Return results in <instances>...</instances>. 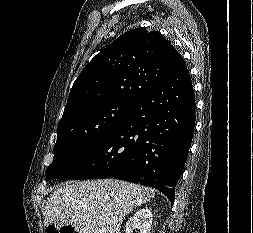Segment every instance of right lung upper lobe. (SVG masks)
Here are the masks:
<instances>
[{
  "label": "right lung upper lobe",
  "mask_w": 253,
  "mask_h": 233,
  "mask_svg": "<svg viewBox=\"0 0 253 233\" xmlns=\"http://www.w3.org/2000/svg\"><path fill=\"white\" fill-rule=\"evenodd\" d=\"M183 67L181 55L159 32L130 30L85 66L72 86L63 116L100 101H135L155 83Z\"/></svg>",
  "instance_id": "1"
}]
</instances>
